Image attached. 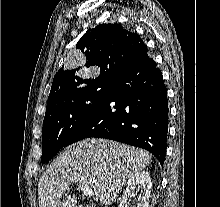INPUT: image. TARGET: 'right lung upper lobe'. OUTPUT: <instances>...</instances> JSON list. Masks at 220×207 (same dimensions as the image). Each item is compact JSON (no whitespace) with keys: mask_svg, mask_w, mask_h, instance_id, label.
Wrapping results in <instances>:
<instances>
[{"mask_svg":"<svg viewBox=\"0 0 220 207\" xmlns=\"http://www.w3.org/2000/svg\"><path fill=\"white\" fill-rule=\"evenodd\" d=\"M86 58L85 67L96 66L100 73L93 79L78 76L80 67L62 68L53 79L48 104L66 93L81 87L109 83L136 59L147 53V46L140 36L124 29L120 24H101L87 30L76 45Z\"/></svg>","mask_w":220,"mask_h":207,"instance_id":"obj_1","label":"right lung upper lobe"}]
</instances>
